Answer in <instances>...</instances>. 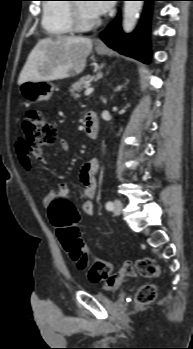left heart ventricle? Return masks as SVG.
Here are the masks:
<instances>
[{
    "label": "left heart ventricle",
    "mask_w": 193,
    "mask_h": 349,
    "mask_svg": "<svg viewBox=\"0 0 193 349\" xmlns=\"http://www.w3.org/2000/svg\"><path fill=\"white\" fill-rule=\"evenodd\" d=\"M81 6H82L83 11H84V13H85L86 16H88V17H93V16H95V15L88 9L87 3H81Z\"/></svg>",
    "instance_id": "left-heart-ventricle-1"
}]
</instances>
